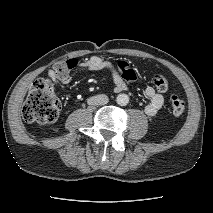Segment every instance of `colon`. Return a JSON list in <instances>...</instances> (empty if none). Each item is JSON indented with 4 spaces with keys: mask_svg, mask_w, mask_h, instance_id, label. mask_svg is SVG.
<instances>
[{
    "mask_svg": "<svg viewBox=\"0 0 213 213\" xmlns=\"http://www.w3.org/2000/svg\"><path fill=\"white\" fill-rule=\"evenodd\" d=\"M75 66L76 60L68 59L54 64L53 70L56 75L64 76ZM119 70L121 73H127V64L120 63ZM152 79L158 91L165 92L168 89L169 82L165 75L154 73ZM169 104L171 112L175 116H179L185 111V102L177 94L170 96ZM60 110L61 103L55 95L51 82L46 78H39L29 90L22 108V117L28 123L45 125L57 120Z\"/></svg>",
    "mask_w": 213,
    "mask_h": 213,
    "instance_id": "colon-1",
    "label": "colon"
}]
</instances>
